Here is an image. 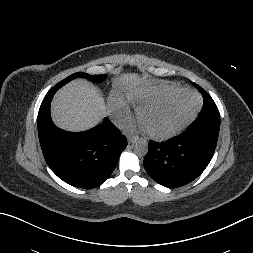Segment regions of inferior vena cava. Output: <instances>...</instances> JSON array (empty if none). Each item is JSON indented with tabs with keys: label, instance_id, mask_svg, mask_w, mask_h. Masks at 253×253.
<instances>
[{
	"label": "inferior vena cava",
	"instance_id": "obj_1",
	"mask_svg": "<svg viewBox=\"0 0 253 253\" xmlns=\"http://www.w3.org/2000/svg\"><path fill=\"white\" fill-rule=\"evenodd\" d=\"M114 122H115V123H119V121H118L117 119H114Z\"/></svg>",
	"mask_w": 253,
	"mask_h": 253
}]
</instances>
